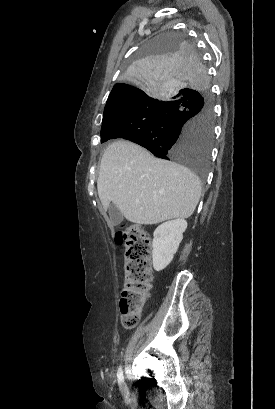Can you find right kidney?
Listing matches in <instances>:
<instances>
[{"instance_id":"right-kidney-1","label":"right kidney","mask_w":275,"mask_h":409,"mask_svg":"<svg viewBox=\"0 0 275 409\" xmlns=\"http://www.w3.org/2000/svg\"><path fill=\"white\" fill-rule=\"evenodd\" d=\"M187 229V221L175 219L159 225L153 233L152 261L155 271H163L171 263Z\"/></svg>"}]
</instances>
